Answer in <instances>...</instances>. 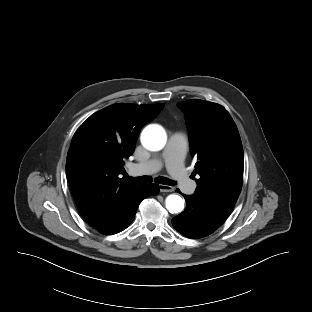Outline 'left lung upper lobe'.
Returning <instances> with one entry per match:
<instances>
[{
	"label": "left lung upper lobe",
	"mask_w": 312,
	"mask_h": 312,
	"mask_svg": "<svg viewBox=\"0 0 312 312\" xmlns=\"http://www.w3.org/2000/svg\"><path fill=\"white\" fill-rule=\"evenodd\" d=\"M186 114L191 152L197 159L194 197L229 214L241 191L244 155L235 122L221 105L204 100L178 103Z\"/></svg>",
	"instance_id": "left-lung-upper-lobe-1"
}]
</instances>
